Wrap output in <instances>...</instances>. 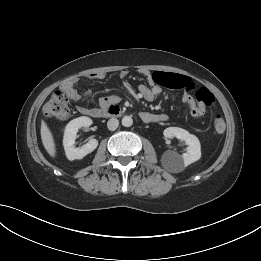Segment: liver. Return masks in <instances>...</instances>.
I'll return each mask as SVG.
<instances>
[{
  "mask_svg": "<svg viewBox=\"0 0 261 261\" xmlns=\"http://www.w3.org/2000/svg\"><path fill=\"white\" fill-rule=\"evenodd\" d=\"M40 133H41V139H42L44 148L46 149V151L48 152V154L50 156L55 157L56 145L54 142V138L44 120H42V122H41Z\"/></svg>",
  "mask_w": 261,
  "mask_h": 261,
  "instance_id": "liver-1",
  "label": "liver"
}]
</instances>
